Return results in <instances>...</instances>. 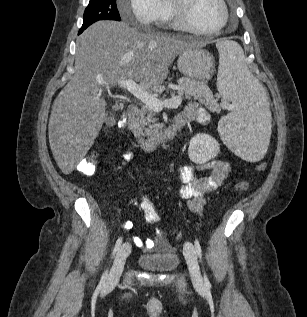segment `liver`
<instances>
[{"instance_id": "1", "label": "liver", "mask_w": 307, "mask_h": 317, "mask_svg": "<svg viewBox=\"0 0 307 317\" xmlns=\"http://www.w3.org/2000/svg\"><path fill=\"white\" fill-rule=\"evenodd\" d=\"M206 44L124 22L99 21L87 28L76 41L74 76L55 99L49 119L50 148L62 172L71 173L98 136L107 115L103 89L127 79L143 88L160 86L178 54Z\"/></svg>"}]
</instances>
